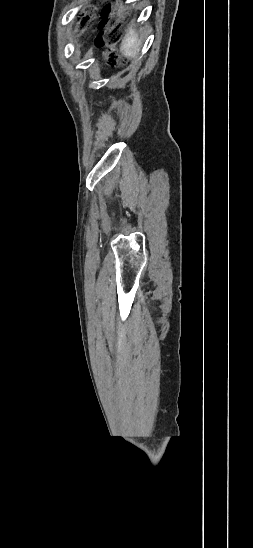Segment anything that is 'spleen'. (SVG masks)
<instances>
[{"label": "spleen", "instance_id": "3e777b00", "mask_svg": "<svg viewBox=\"0 0 253 548\" xmlns=\"http://www.w3.org/2000/svg\"><path fill=\"white\" fill-rule=\"evenodd\" d=\"M141 42L137 33L131 27L122 40L120 50L125 57L136 58L140 51Z\"/></svg>", "mask_w": 253, "mask_h": 548}]
</instances>
